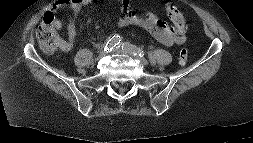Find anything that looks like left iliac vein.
Returning <instances> with one entry per match:
<instances>
[{"mask_svg":"<svg viewBox=\"0 0 253 143\" xmlns=\"http://www.w3.org/2000/svg\"><path fill=\"white\" fill-rule=\"evenodd\" d=\"M122 52H124V53H126V54L133 55L134 57H136L137 59H139V61H140L142 64H144V65H147V64H148V61H147L144 57H140L139 55H134L132 47H125V48H122Z\"/></svg>","mask_w":253,"mask_h":143,"instance_id":"4c4485c4","label":"left iliac vein"}]
</instances>
